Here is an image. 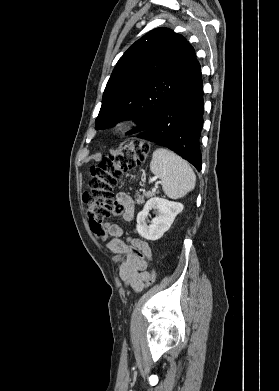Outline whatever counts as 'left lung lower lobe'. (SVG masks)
I'll use <instances>...</instances> for the list:
<instances>
[{
  "mask_svg": "<svg viewBox=\"0 0 279 391\" xmlns=\"http://www.w3.org/2000/svg\"><path fill=\"white\" fill-rule=\"evenodd\" d=\"M204 100L200 65L188 82L166 103L155 121L137 137L161 144L201 170L199 138Z\"/></svg>",
  "mask_w": 279,
  "mask_h": 391,
  "instance_id": "1",
  "label": "left lung lower lobe"
}]
</instances>
